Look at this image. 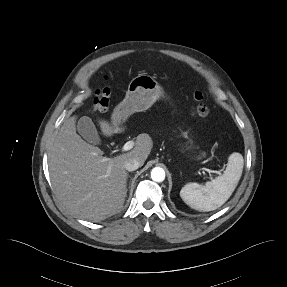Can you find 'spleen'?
Instances as JSON below:
<instances>
[{
  "mask_svg": "<svg viewBox=\"0 0 287 287\" xmlns=\"http://www.w3.org/2000/svg\"><path fill=\"white\" fill-rule=\"evenodd\" d=\"M244 160L234 152L228 158L226 170L221 176L205 185L188 183L180 191L182 200L197 211H213L221 207L232 195L241 178Z\"/></svg>",
  "mask_w": 287,
  "mask_h": 287,
  "instance_id": "1",
  "label": "spleen"
}]
</instances>
